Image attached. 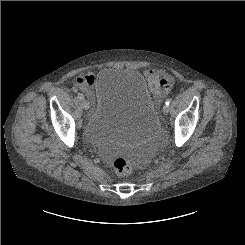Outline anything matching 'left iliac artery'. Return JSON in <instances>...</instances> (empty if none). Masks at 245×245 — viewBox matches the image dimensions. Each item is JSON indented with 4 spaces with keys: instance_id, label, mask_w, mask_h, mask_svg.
I'll list each match as a JSON object with an SVG mask.
<instances>
[{
    "instance_id": "1",
    "label": "left iliac artery",
    "mask_w": 245,
    "mask_h": 245,
    "mask_svg": "<svg viewBox=\"0 0 245 245\" xmlns=\"http://www.w3.org/2000/svg\"><path fill=\"white\" fill-rule=\"evenodd\" d=\"M170 103H171V99H169V98L166 99L165 104H166V105H169Z\"/></svg>"
}]
</instances>
